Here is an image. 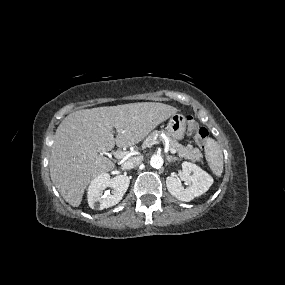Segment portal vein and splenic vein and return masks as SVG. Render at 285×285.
Here are the masks:
<instances>
[{"label": "portal vein and splenic vein", "mask_w": 285, "mask_h": 285, "mask_svg": "<svg viewBox=\"0 0 285 285\" xmlns=\"http://www.w3.org/2000/svg\"><path fill=\"white\" fill-rule=\"evenodd\" d=\"M158 143H159L158 141H153V142L150 143V144H145V145H144V148H145V147H150V146H152V145H154V144H158ZM170 152H171L172 154H175V153H176V150L170 148ZM114 156H115V158H117V159H126V158H128V157L130 156V153H129V152H124V151H116V152H114Z\"/></svg>", "instance_id": "obj_1"}]
</instances>
